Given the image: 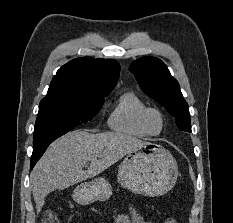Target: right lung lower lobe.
<instances>
[{
    "instance_id": "right-lung-lower-lobe-1",
    "label": "right lung lower lobe",
    "mask_w": 233,
    "mask_h": 223,
    "mask_svg": "<svg viewBox=\"0 0 233 223\" xmlns=\"http://www.w3.org/2000/svg\"><path fill=\"white\" fill-rule=\"evenodd\" d=\"M44 152L38 153V154H35V155L32 154V157H31V169L34 167V165L40 159V157L43 155Z\"/></svg>"
}]
</instances>
